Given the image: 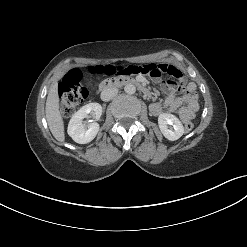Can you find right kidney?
<instances>
[{
    "mask_svg": "<svg viewBox=\"0 0 247 247\" xmlns=\"http://www.w3.org/2000/svg\"><path fill=\"white\" fill-rule=\"evenodd\" d=\"M89 114L95 119L88 127L84 125L83 119ZM102 115V107L99 103H89L80 108L70 119L68 124L69 136L79 144L91 142L99 131V124L96 122Z\"/></svg>",
    "mask_w": 247,
    "mask_h": 247,
    "instance_id": "obj_1",
    "label": "right kidney"
}]
</instances>
